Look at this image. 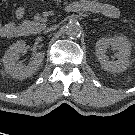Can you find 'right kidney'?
<instances>
[{"label":"right kidney","instance_id":"1","mask_svg":"<svg viewBox=\"0 0 135 135\" xmlns=\"http://www.w3.org/2000/svg\"><path fill=\"white\" fill-rule=\"evenodd\" d=\"M25 48V42L18 41L6 51L2 58L5 72L13 78H28L32 76L42 64L44 58L43 52H34L31 61L27 66L17 63L20 53H22Z\"/></svg>","mask_w":135,"mask_h":135}]
</instances>
